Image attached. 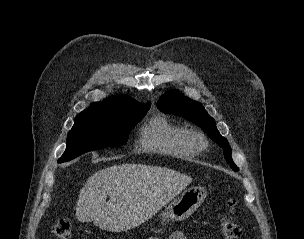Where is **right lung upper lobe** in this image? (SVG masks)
<instances>
[{"instance_id": "right-lung-upper-lobe-1", "label": "right lung upper lobe", "mask_w": 304, "mask_h": 239, "mask_svg": "<svg viewBox=\"0 0 304 239\" xmlns=\"http://www.w3.org/2000/svg\"><path fill=\"white\" fill-rule=\"evenodd\" d=\"M150 107V103L141 104L135 99L123 97H111L102 102L92 103L91 107L82 111L80 115H114L124 112L129 108H143ZM79 115V116H80Z\"/></svg>"}]
</instances>
